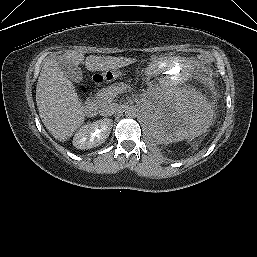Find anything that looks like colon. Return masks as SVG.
<instances>
[{
    "mask_svg": "<svg viewBox=\"0 0 257 257\" xmlns=\"http://www.w3.org/2000/svg\"><path fill=\"white\" fill-rule=\"evenodd\" d=\"M198 59L203 64H209L212 62V57L208 54H200ZM122 73L119 70L103 71L94 76L96 82H108L120 77Z\"/></svg>",
    "mask_w": 257,
    "mask_h": 257,
    "instance_id": "colon-1",
    "label": "colon"
}]
</instances>
